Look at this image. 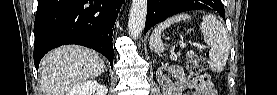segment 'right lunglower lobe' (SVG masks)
Here are the masks:
<instances>
[{
    "mask_svg": "<svg viewBox=\"0 0 277 95\" xmlns=\"http://www.w3.org/2000/svg\"><path fill=\"white\" fill-rule=\"evenodd\" d=\"M124 0H39L34 22V64L50 50L78 44L103 54L113 67L112 35Z\"/></svg>",
    "mask_w": 277,
    "mask_h": 95,
    "instance_id": "obj_1",
    "label": "right lung lower lobe"
}]
</instances>
